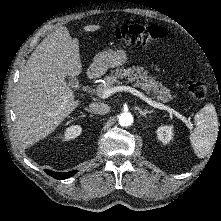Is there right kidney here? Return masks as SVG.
<instances>
[{"label":"right kidney","instance_id":"obj_1","mask_svg":"<svg viewBox=\"0 0 221 221\" xmlns=\"http://www.w3.org/2000/svg\"><path fill=\"white\" fill-rule=\"evenodd\" d=\"M82 132V128L79 125H72L70 127H68L63 135V139L68 141L70 139H74L77 136H79Z\"/></svg>","mask_w":221,"mask_h":221}]
</instances>
